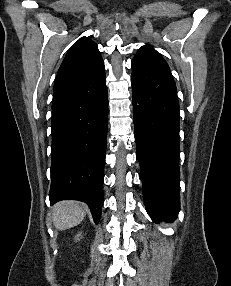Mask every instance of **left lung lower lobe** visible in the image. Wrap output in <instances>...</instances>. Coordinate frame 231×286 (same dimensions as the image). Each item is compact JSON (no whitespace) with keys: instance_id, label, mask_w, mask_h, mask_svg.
<instances>
[{"instance_id":"1","label":"left lung lower lobe","mask_w":231,"mask_h":286,"mask_svg":"<svg viewBox=\"0 0 231 286\" xmlns=\"http://www.w3.org/2000/svg\"><path fill=\"white\" fill-rule=\"evenodd\" d=\"M131 85L146 210L153 219L173 220L180 210L176 85L170 69L137 59L132 61Z\"/></svg>"}]
</instances>
